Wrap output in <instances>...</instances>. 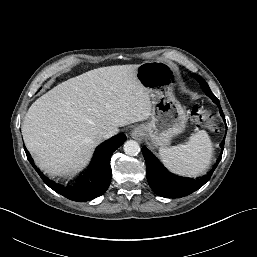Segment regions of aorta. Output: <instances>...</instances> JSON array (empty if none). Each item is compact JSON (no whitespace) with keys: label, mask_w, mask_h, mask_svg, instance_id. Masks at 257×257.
<instances>
[{"label":"aorta","mask_w":257,"mask_h":257,"mask_svg":"<svg viewBox=\"0 0 257 257\" xmlns=\"http://www.w3.org/2000/svg\"><path fill=\"white\" fill-rule=\"evenodd\" d=\"M124 152L129 156H135L140 152V146L138 142L134 140H128L124 143Z\"/></svg>","instance_id":"762f6f07"}]
</instances>
